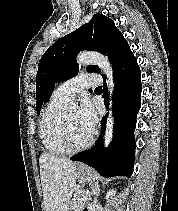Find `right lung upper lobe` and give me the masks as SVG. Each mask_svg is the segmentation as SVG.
I'll use <instances>...</instances> for the list:
<instances>
[{"instance_id":"1","label":"right lung upper lobe","mask_w":178,"mask_h":211,"mask_svg":"<svg viewBox=\"0 0 178 211\" xmlns=\"http://www.w3.org/2000/svg\"><path fill=\"white\" fill-rule=\"evenodd\" d=\"M52 91H53V89H52V88H51V89H49V90L47 91L46 96H45V101H47V100H48V98H49V96L51 95Z\"/></svg>"}]
</instances>
